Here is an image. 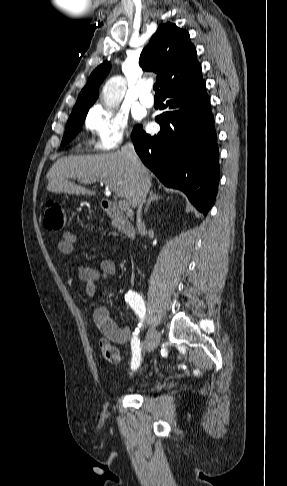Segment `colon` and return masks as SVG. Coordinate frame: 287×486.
Returning <instances> with one entry per match:
<instances>
[{
  "label": "colon",
  "mask_w": 287,
  "mask_h": 486,
  "mask_svg": "<svg viewBox=\"0 0 287 486\" xmlns=\"http://www.w3.org/2000/svg\"><path fill=\"white\" fill-rule=\"evenodd\" d=\"M44 225L49 231H60L65 225V212L62 205L53 199L47 200L44 206ZM103 358L109 363H117L119 350L108 339L99 342Z\"/></svg>",
  "instance_id": "5ec220e1"
}]
</instances>
